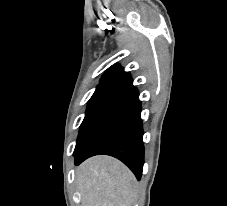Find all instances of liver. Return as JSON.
<instances>
[{
  "instance_id": "6515ba94",
  "label": "liver",
  "mask_w": 227,
  "mask_h": 206,
  "mask_svg": "<svg viewBox=\"0 0 227 206\" xmlns=\"http://www.w3.org/2000/svg\"><path fill=\"white\" fill-rule=\"evenodd\" d=\"M82 206H133L136 180L117 159L101 155L83 162L76 171Z\"/></svg>"
}]
</instances>
